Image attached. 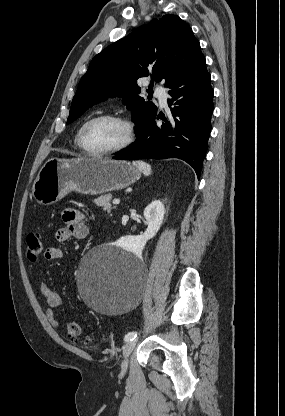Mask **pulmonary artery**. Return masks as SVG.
Here are the masks:
<instances>
[{"mask_svg": "<svg viewBox=\"0 0 285 416\" xmlns=\"http://www.w3.org/2000/svg\"><path fill=\"white\" fill-rule=\"evenodd\" d=\"M154 94L158 98L160 105L163 108H167V100H168V91L162 85H157L154 87Z\"/></svg>", "mask_w": 285, "mask_h": 416, "instance_id": "e3ab8cb5", "label": "pulmonary artery"}]
</instances>
